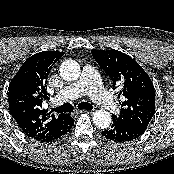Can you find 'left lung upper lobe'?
Masks as SVG:
<instances>
[{
	"label": "left lung upper lobe",
	"mask_w": 174,
	"mask_h": 174,
	"mask_svg": "<svg viewBox=\"0 0 174 174\" xmlns=\"http://www.w3.org/2000/svg\"><path fill=\"white\" fill-rule=\"evenodd\" d=\"M91 53L122 99L121 113L113 118L146 130L155 113V91L147 73L133 58L118 50H92Z\"/></svg>",
	"instance_id": "1"
}]
</instances>
